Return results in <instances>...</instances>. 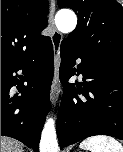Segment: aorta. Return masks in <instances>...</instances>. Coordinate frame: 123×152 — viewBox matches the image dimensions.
Masks as SVG:
<instances>
[{"mask_svg": "<svg viewBox=\"0 0 123 152\" xmlns=\"http://www.w3.org/2000/svg\"><path fill=\"white\" fill-rule=\"evenodd\" d=\"M55 23L60 32L70 33L77 25V17L75 13L70 10H61L55 17ZM40 152H58L55 122L52 118L47 119L43 128Z\"/></svg>", "mask_w": 123, "mask_h": 152, "instance_id": "762f6f07", "label": "aorta"}]
</instances>
